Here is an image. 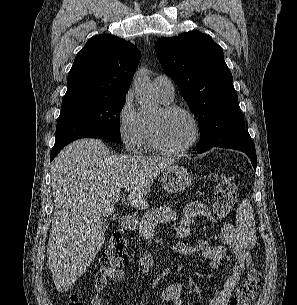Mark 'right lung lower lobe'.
<instances>
[{
	"label": "right lung lower lobe",
	"mask_w": 297,
	"mask_h": 305,
	"mask_svg": "<svg viewBox=\"0 0 297 305\" xmlns=\"http://www.w3.org/2000/svg\"><path fill=\"white\" fill-rule=\"evenodd\" d=\"M62 148H53L50 156V161H52L56 155L60 152Z\"/></svg>",
	"instance_id": "1"
}]
</instances>
